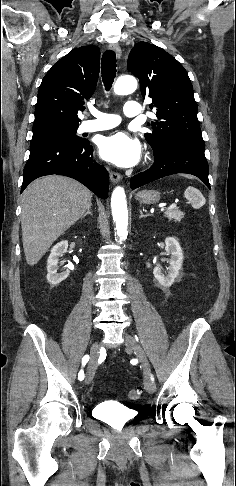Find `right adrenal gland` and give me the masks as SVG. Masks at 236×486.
Returning <instances> with one entry per match:
<instances>
[{
    "label": "right adrenal gland",
    "instance_id": "1",
    "mask_svg": "<svg viewBox=\"0 0 236 486\" xmlns=\"http://www.w3.org/2000/svg\"><path fill=\"white\" fill-rule=\"evenodd\" d=\"M87 215H91L92 216V213L90 211V208L87 209L86 213L81 217V219L85 218Z\"/></svg>",
    "mask_w": 236,
    "mask_h": 486
}]
</instances>
